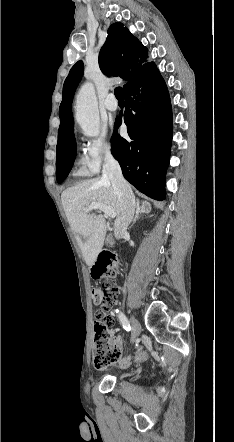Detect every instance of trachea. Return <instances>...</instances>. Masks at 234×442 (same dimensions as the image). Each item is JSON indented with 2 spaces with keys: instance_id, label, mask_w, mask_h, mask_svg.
<instances>
[{
  "instance_id": "trachea-1",
  "label": "trachea",
  "mask_w": 234,
  "mask_h": 442,
  "mask_svg": "<svg viewBox=\"0 0 234 442\" xmlns=\"http://www.w3.org/2000/svg\"><path fill=\"white\" fill-rule=\"evenodd\" d=\"M114 94L118 100H124L123 99V92L122 87H116L114 90Z\"/></svg>"
}]
</instances>
